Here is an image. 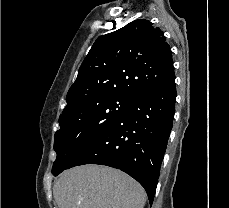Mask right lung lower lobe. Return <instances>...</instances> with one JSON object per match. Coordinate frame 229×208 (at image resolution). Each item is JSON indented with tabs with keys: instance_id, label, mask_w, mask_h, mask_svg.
<instances>
[{
	"instance_id": "obj_1",
	"label": "right lung lower lobe",
	"mask_w": 229,
	"mask_h": 208,
	"mask_svg": "<svg viewBox=\"0 0 229 208\" xmlns=\"http://www.w3.org/2000/svg\"><path fill=\"white\" fill-rule=\"evenodd\" d=\"M175 102L174 75L140 94L115 123L80 150L66 169L83 164L120 169L144 187L152 205Z\"/></svg>"
}]
</instances>
